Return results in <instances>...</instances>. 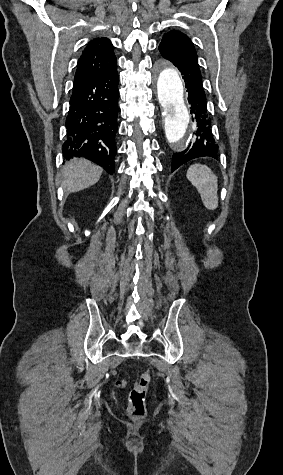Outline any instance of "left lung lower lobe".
Returning <instances> with one entry per match:
<instances>
[{
  "instance_id": "0a47b994",
  "label": "left lung lower lobe",
  "mask_w": 283,
  "mask_h": 475,
  "mask_svg": "<svg viewBox=\"0 0 283 475\" xmlns=\"http://www.w3.org/2000/svg\"><path fill=\"white\" fill-rule=\"evenodd\" d=\"M186 83L190 113L195 123V133L188 147L180 153L173 154L172 172L179 166L194 158L209 156L218 159V144L212 134V122L207 110V100L202 85L199 67L190 64L176 65Z\"/></svg>"
}]
</instances>
